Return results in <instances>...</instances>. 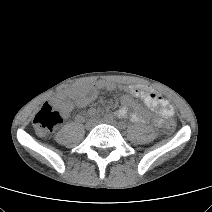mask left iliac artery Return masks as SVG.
Instances as JSON below:
<instances>
[{
	"label": "left iliac artery",
	"mask_w": 212,
	"mask_h": 212,
	"mask_svg": "<svg viewBox=\"0 0 212 212\" xmlns=\"http://www.w3.org/2000/svg\"><path fill=\"white\" fill-rule=\"evenodd\" d=\"M119 126L122 128V129H125L126 128V124L124 122H119Z\"/></svg>",
	"instance_id": "44dca946"
}]
</instances>
